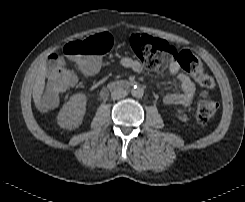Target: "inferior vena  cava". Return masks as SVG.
Instances as JSON below:
<instances>
[{
  "label": "inferior vena cava",
  "instance_id": "inferior-vena-cava-1",
  "mask_svg": "<svg viewBox=\"0 0 245 202\" xmlns=\"http://www.w3.org/2000/svg\"><path fill=\"white\" fill-rule=\"evenodd\" d=\"M126 95H127V91L123 88H116L111 92V98L113 100L124 98Z\"/></svg>",
  "mask_w": 245,
  "mask_h": 202
}]
</instances>
